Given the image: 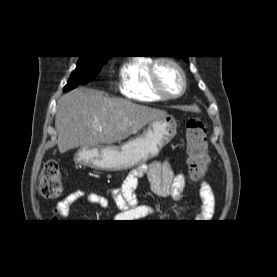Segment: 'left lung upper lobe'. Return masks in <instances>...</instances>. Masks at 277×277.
<instances>
[{
	"label": "left lung upper lobe",
	"mask_w": 277,
	"mask_h": 277,
	"mask_svg": "<svg viewBox=\"0 0 277 277\" xmlns=\"http://www.w3.org/2000/svg\"><path fill=\"white\" fill-rule=\"evenodd\" d=\"M182 58H183L186 62H189L188 56H183Z\"/></svg>",
	"instance_id": "1"
}]
</instances>
